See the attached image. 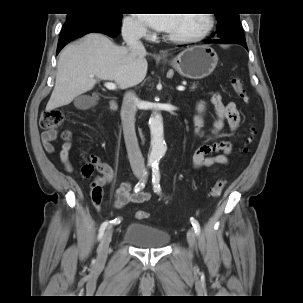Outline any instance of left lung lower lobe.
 <instances>
[{
	"label": "left lung lower lobe",
	"instance_id": "left-lung-lower-lobe-1",
	"mask_svg": "<svg viewBox=\"0 0 303 303\" xmlns=\"http://www.w3.org/2000/svg\"><path fill=\"white\" fill-rule=\"evenodd\" d=\"M206 42H214V43H222V44H229V43H236V44H240L242 46H244L245 48H247L246 46V42L245 41H241V40H238V41H231V40H225V39H222V40H214V41H211L210 39H207Z\"/></svg>",
	"mask_w": 303,
	"mask_h": 303
}]
</instances>
